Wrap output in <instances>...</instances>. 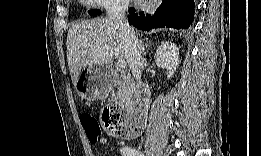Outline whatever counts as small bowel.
<instances>
[{
    "label": "small bowel",
    "instance_id": "small-bowel-1",
    "mask_svg": "<svg viewBox=\"0 0 261 156\" xmlns=\"http://www.w3.org/2000/svg\"><path fill=\"white\" fill-rule=\"evenodd\" d=\"M97 143H98L99 145H105V144L107 143V139L104 138V137L99 138L98 141H97ZM121 153H122V152H121Z\"/></svg>",
    "mask_w": 261,
    "mask_h": 156
}]
</instances>
